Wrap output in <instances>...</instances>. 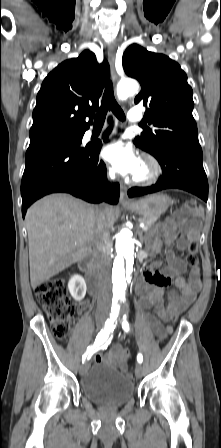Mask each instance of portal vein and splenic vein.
I'll return each instance as SVG.
<instances>
[{"mask_svg":"<svg viewBox=\"0 0 221 448\" xmlns=\"http://www.w3.org/2000/svg\"><path fill=\"white\" fill-rule=\"evenodd\" d=\"M140 228H141L142 230H144V231H147V230H148V226H147L146 224H144V223H141V224H140Z\"/></svg>","mask_w":221,"mask_h":448,"instance_id":"1","label":"portal vein and splenic vein"}]
</instances>
